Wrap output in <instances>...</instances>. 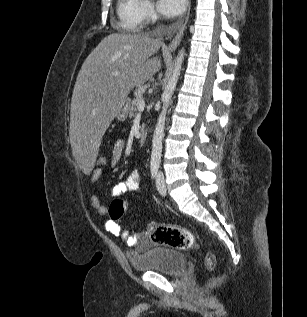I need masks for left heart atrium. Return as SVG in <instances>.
I'll list each match as a JSON object with an SVG mask.
<instances>
[{"instance_id": "1", "label": "left heart atrium", "mask_w": 307, "mask_h": 317, "mask_svg": "<svg viewBox=\"0 0 307 317\" xmlns=\"http://www.w3.org/2000/svg\"><path fill=\"white\" fill-rule=\"evenodd\" d=\"M186 0H158L159 11L167 17H176L180 15L185 8Z\"/></svg>"}]
</instances>
